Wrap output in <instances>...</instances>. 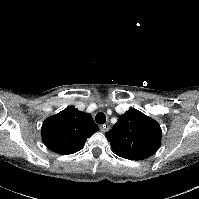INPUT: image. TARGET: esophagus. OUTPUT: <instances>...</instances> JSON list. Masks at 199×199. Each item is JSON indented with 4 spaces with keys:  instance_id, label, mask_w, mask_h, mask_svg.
Here are the masks:
<instances>
[{
    "instance_id": "34e87169",
    "label": "esophagus",
    "mask_w": 199,
    "mask_h": 199,
    "mask_svg": "<svg viewBox=\"0 0 199 199\" xmlns=\"http://www.w3.org/2000/svg\"><path fill=\"white\" fill-rule=\"evenodd\" d=\"M110 129V126L107 124H104V125H101L100 126V130L103 132V133H105V132H107L108 130Z\"/></svg>"
}]
</instances>
